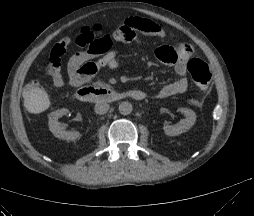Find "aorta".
I'll use <instances>...</instances> for the list:
<instances>
[{
	"mask_svg": "<svg viewBox=\"0 0 254 216\" xmlns=\"http://www.w3.org/2000/svg\"><path fill=\"white\" fill-rule=\"evenodd\" d=\"M119 112L122 114V115H129L132 110H133V106L131 103L129 102H121L119 104Z\"/></svg>",
	"mask_w": 254,
	"mask_h": 216,
	"instance_id": "1",
	"label": "aorta"
}]
</instances>
